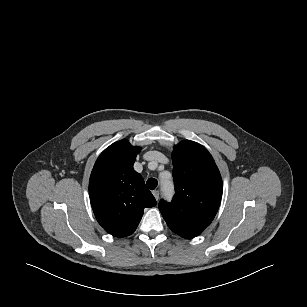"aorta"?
I'll return each mask as SVG.
<instances>
[{
	"mask_svg": "<svg viewBox=\"0 0 307 307\" xmlns=\"http://www.w3.org/2000/svg\"><path fill=\"white\" fill-rule=\"evenodd\" d=\"M162 186L166 194L170 197L173 194V184L170 181H162Z\"/></svg>",
	"mask_w": 307,
	"mask_h": 307,
	"instance_id": "1",
	"label": "aorta"
}]
</instances>
